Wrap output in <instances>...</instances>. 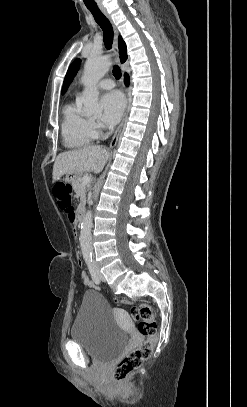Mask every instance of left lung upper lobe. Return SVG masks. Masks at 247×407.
<instances>
[{"label": "left lung upper lobe", "instance_id": "5c2ea615", "mask_svg": "<svg viewBox=\"0 0 247 407\" xmlns=\"http://www.w3.org/2000/svg\"><path fill=\"white\" fill-rule=\"evenodd\" d=\"M80 59H76L73 61V63L70 65L67 74L65 76L64 82H63V87H62V94H64L69 87L70 83L72 82L73 78L77 74L79 68H80Z\"/></svg>", "mask_w": 247, "mask_h": 407}]
</instances>
